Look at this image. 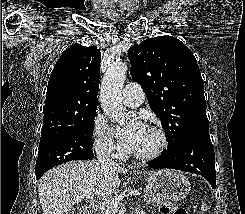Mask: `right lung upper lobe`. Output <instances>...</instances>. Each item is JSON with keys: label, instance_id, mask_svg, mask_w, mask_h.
Listing matches in <instances>:
<instances>
[{"label": "right lung upper lobe", "instance_id": "right-lung-upper-lobe-1", "mask_svg": "<svg viewBox=\"0 0 245 214\" xmlns=\"http://www.w3.org/2000/svg\"><path fill=\"white\" fill-rule=\"evenodd\" d=\"M101 54L79 44L66 49L48 82L41 135L74 125L97 109Z\"/></svg>", "mask_w": 245, "mask_h": 214}]
</instances>
